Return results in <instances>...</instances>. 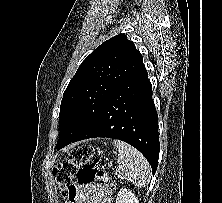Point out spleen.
<instances>
[{"label":"spleen","mask_w":222,"mask_h":203,"mask_svg":"<svg viewBox=\"0 0 222 203\" xmlns=\"http://www.w3.org/2000/svg\"><path fill=\"white\" fill-rule=\"evenodd\" d=\"M113 143L118 149V168L115 174L140 188L147 186L151 179V167L145 157L123 141L115 140Z\"/></svg>","instance_id":"spleen-1"}]
</instances>
